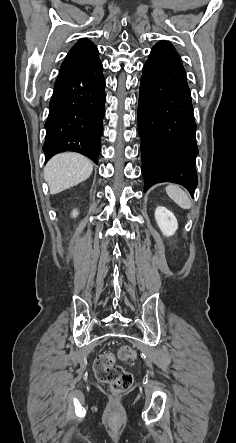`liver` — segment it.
Wrapping results in <instances>:
<instances>
[{
    "label": "liver",
    "mask_w": 236,
    "mask_h": 443,
    "mask_svg": "<svg viewBox=\"0 0 236 443\" xmlns=\"http://www.w3.org/2000/svg\"><path fill=\"white\" fill-rule=\"evenodd\" d=\"M93 171L92 162L77 153H61L51 158L44 168V178L50 194L67 190L88 179Z\"/></svg>",
    "instance_id": "liver-1"
}]
</instances>
